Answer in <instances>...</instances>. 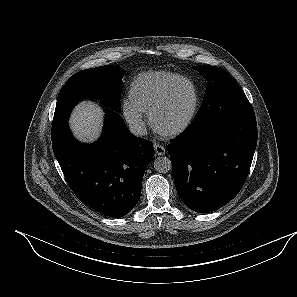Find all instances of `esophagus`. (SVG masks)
<instances>
[{"label": "esophagus", "mask_w": 297, "mask_h": 297, "mask_svg": "<svg viewBox=\"0 0 297 297\" xmlns=\"http://www.w3.org/2000/svg\"><path fill=\"white\" fill-rule=\"evenodd\" d=\"M153 147H154L155 154L158 156L164 155L166 152L165 148L158 143H154Z\"/></svg>", "instance_id": "esophagus-1"}]
</instances>
